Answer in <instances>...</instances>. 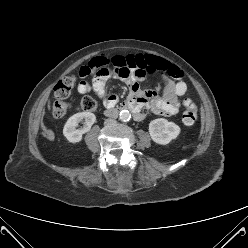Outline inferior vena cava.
I'll return each mask as SVG.
<instances>
[{
    "label": "inferior vena cava",
    "mask_w": 248,
    "mask_h": 248,
    "mask_svg": "<svg viewBox=\"0 0 248 248\" xmlns=\"http://www.w3.org/2000/svg\"><path fill=\"white\" fill-rule=\"evenodd\" d=\"M115 123H116L115 119H111V118L110 119H106L105 122H104V124L106 126H111V125H113Z\"/></svg>",
    "instance_id": "1"
}]
</instances>
